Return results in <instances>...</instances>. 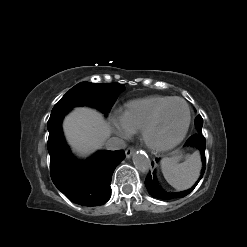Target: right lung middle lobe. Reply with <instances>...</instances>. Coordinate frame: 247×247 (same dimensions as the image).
Listing matches in <instances>:
<instances>
[{
	"mask_svg": "<svg viewBox=\"0 0 247 247\" xmlns=\"http://www.w3.org/2000/svg\"><path fill=\"white\" fill-rule=\"evenodd\" d=\"M125 86L119 83L81 82L71 88L54 106L52 113L87 105L108 113Z\"/></svg>",
	"mask_w": 247,
	"mask_h": 247,
	"instance_id": "1",
	"label": "right lung middle lobe"
}]
</instances>
